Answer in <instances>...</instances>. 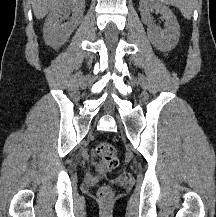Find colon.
Wrapping results in <instances>:
<instances>
[{
  "instance_id": "colon-1",
  "label": "colon",
  "mask_w": 216,
  "mask_h": 217,
  "mask_svg": "<svg viewBox=\"0 0 216 217\" xmlns=\"http://www.w3.org/2000/svg\"><path fill=\"white\" fill-rule=\"evenodd\" d=\"M96 155L99 157L102 166L107 170L117 168L119 164L118 152L116 147L110 142H100L95 148ZM113 189L110 186H102L98 190V198L101 203L109 204L113 200Z\"/></svg>"
}]
</instances>
